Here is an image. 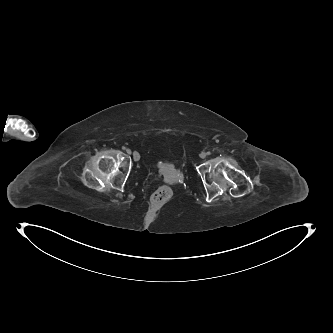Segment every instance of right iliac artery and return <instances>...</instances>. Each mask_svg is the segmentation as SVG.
I'll return each instance as SVG.
<instances>
[{
    "label": "right iliac artery",
    "instance_id": "right-iliac-artery-1",
    "mask_svg": "<svg viewBox=\"0 0 333 333\" xmlns=\"http://www.w3.org/2000/svg\"><path fill=\"white\" fill-rule=\"evenodd\" d=\"M122 149H123V150H125V149H126V147H124V146H123V147H122Z\"/></svg>",
    "mask_w": 333,
    "mask_h": 333
}]
</instances>
